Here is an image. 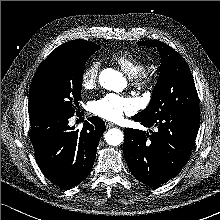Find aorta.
I'll return each instance as SVG.
<instances>
[{
  "label": "aorta",
  "mask_w": 220,
  "mask_h": 220,
  "mask_svg": "<svg viewBox=\"0 0 220 220\" xmlns=\"http://www.w3.org/2000/svg\"><path fill=\"white\" fill-rule=\"evenodd\" d=\"M99 82L103 88L113 91H120L126 84V80L123 75L119 71L111 68L104 69L100 73ZM105 139L107 144L117 146L123 142L124 135L121 130L113 128L107 131Z\"/></svg>",
  "instance_id": "1"
}]
</instances>
